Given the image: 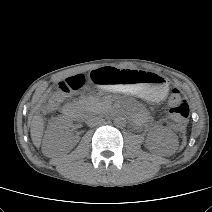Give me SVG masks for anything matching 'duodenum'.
<instances>
[{
    "instance_id": "410a0bca",
    "label": "duodenum",
    "mask_w": 212,
    "mask_h": 212,
    "mask_svg": "<svg viewBox=\"0 0 212 212\" xmlns=\"http://www.w3.org/2000/svg\"><path fill=\"white\" fill-rule=\"evenodd\" d=\"M64 115L68 118H76V111L75 108L71 105H68L64 108Z\"/></svg>"
}]
</instances>
